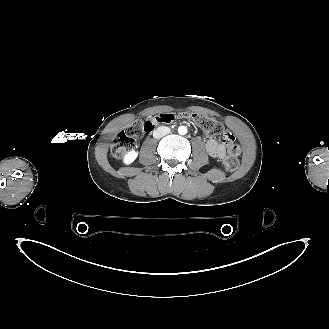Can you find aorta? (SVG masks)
<instances>
[{"mask_svg": "<svg viewBox=\"0 0 329 329\" xmlns=\"http://www.w3.org/2000/svg\"><path fill=\"white\" fill-rule=\"evenodd\" d=\"M178 133H179L180 135H185V134L187 133V128H186L185 126H180V127L178 128Z\"/></svg>", "mask_w": 329, "mask_h": 329, "instance_id": "762f6f07", "label": "aorta"}]
</instances>
